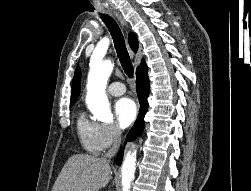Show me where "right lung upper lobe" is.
I'll list each match as a JSON object with an SVG mask.
<instances>
[{"mask_svg":"<svg viewBox=\"0 0 251 191\" xmlns=\"http://www.w3.org/2000/svg\"><path fill=\"white\" fill-rule=\"evenodd\" d=\"M129 44L134 52L138 50V40L135 34L130 33L129 35ZM147 66L144 60L141 61L140 66L136 69V76H143L147 74ZM80 79H81V72L80 68L77 67L75 70V74L72 81V94H71V102L70 104H74L79 96L80 93Z\"/></svg>","mask_w":251,"mask_h":191,"instance_id":"cb5924a9","label":"right lung upper lobe"}]
</instances>
